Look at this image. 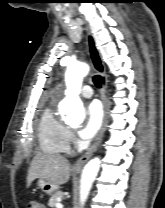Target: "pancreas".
Listing matches in <instances>:
<instances>
[{
  "instance_id": "1",
  "label": "pancreas",
  "mask_w": 165,
  "mask_h": 208,
  "mask_svg": "<svg viewBox=\"0 0 165 208\" xmlns=\"http://www.w3.org/2000/svg\"><path fill=\"white\" fill-rule=\"evenodd\" d=\"M64 196V193L62 191H56L49 199L48 205L51 208H55L56 204L58 203V198H62Z\"/></svg>"
}]
</instances>
